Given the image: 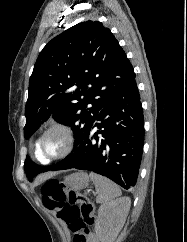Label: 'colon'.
Segmentation results:
<instances>
[{
	"mask_svg": "<svg viewBox=\"0 0 187 242\" xmlns=\"http://www.w3.org/2000/svg\"><path fill=\"white\" fill-rule=\"evenodd\" d=\"M41 193L44 206L56 212L72 232L73 242H98L90 230L95 222V207L91 200L58 180L47 181Z\"/></svg>",
	"mask_w": 187,
	"mask_h": 242,
	"instance_id": "5ec220e1",
	"label": "colon"
}]
</instances>
